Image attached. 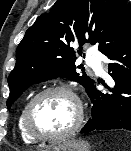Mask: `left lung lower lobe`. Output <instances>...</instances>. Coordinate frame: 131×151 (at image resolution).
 Instances as JSON below:
<instances>
[{
	"label": "left lung lower lobe",
	"mask_w": 131,
	"mask_h": 151,
	"mask_svg": "<svg viewBox=\"0 0 131 151\" xmlns=\"http://www.w3.org/2000/svg\"><path fill=\"white\" fill-rule=\"evenodd\" d=\"M111 62L108 73L115 85L107 93L96 89L95 82L87 94L93 103L91 118L80 133L94 130L131 131V37L105 54Z\"/></svg>",
	"instance_id": "1"
}]
</instances>
